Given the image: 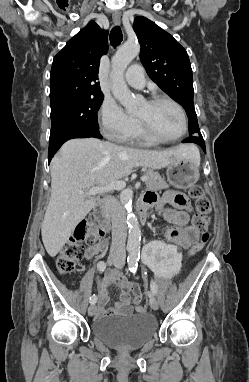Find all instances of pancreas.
Masks as SVG:
<instances>
[{
    "label": "pancreas",
    "mask_w": 249,
    "mask_h": 382,
    "mask_svg": "<svg viewBox=\"0 0 249 382\" xmlns=\"http://www.w3.org/2000/svg\"><path fill=\"white\" fill-rule=\"evenodd\" d=\"M144 176L148 178L145 181L147 188L152 190H162L169 187L166 181L160 176L159 173L154 172L153 170H147L144 173Z\"/></svg>",
    "instance_id": "pancreas-1"
}]
</instances>
